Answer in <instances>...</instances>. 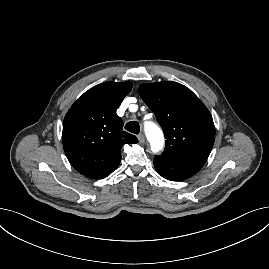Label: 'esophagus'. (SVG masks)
I'll list each match as a JSON object with an SVG mask.
<instances>
[{
	"label": "esophagus",
	"instance_id": "34e87169",
	"mask_svg": "<svg viewBox=\"0 0 269 269\" xmlns=\"http://www.w3.org/2000/svg\"><path fill=\"white\" fill-rule=\"evenodd\" d=\"M138 140H139L140 143H144L145 142V136H144V134H142V133L139 134L138 135Z\"/></svg>",
	"mask_w": 269,
	"mask_h": 269
}]
</instances>
